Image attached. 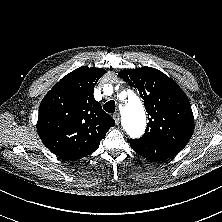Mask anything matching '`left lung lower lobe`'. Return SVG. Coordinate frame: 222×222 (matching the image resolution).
I'll return each instance as SVG.
<instances>
[{"instance_id":"obj_1","label":"left lung lower lobe","mask_w":222,"mask_h":222,"mask_svg":"<svg viewBox=\"0 0 222 222\" xmlns=\"http://www.w3.org/2000/svg\"><path fill=\"white\" fill-rule=\"evenodd\" d=\"M128 142L136 153L150 160L167 159L184 148L178 144H152L134 139H128Z\"/></svg>"}]
</instances>
